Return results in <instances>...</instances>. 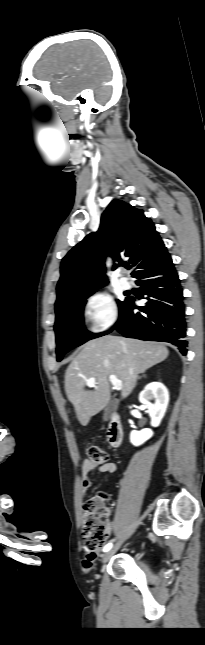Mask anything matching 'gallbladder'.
Instances as JSON below:
<instances>
[{"instance_id":"gallbladder-1","label":"gallbladder","mask_w":205,"mask_h":645,"mask_svg":"<svg viewBox=\"0 0 205 645\" xmlns=\"http://www.w3.org/2000/svg\"><path fill=\"white\" fill-rule=\"evenodd\" d=\"M116 409V403L114 401H110L109 404L107 405L104 414H103V421H108L113 414V412Z\"/></svg>"}]
</instances>
